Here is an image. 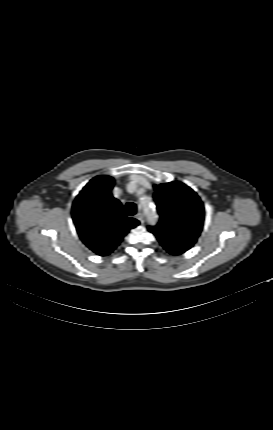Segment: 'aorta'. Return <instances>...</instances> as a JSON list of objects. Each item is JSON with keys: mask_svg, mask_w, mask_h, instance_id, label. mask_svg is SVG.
<instances>
[{"mask_svg": "<svg viewBox=\"0 0 273 430\" xmlns=\"http://www.w3.org/2000/svg\"><path fill=\"white\" fill-rule=\"evenodd\" d=\"M146 204L142 206L143 212L145 216L147 217L148 221L150 223H156L158 221V213L156 209L152 206H150V199L148 197H145Z\"/></svg>", "mask_w": 273, "mask_h": 430, "instance_id": "1", "label": "aorta"}]
</instances>
